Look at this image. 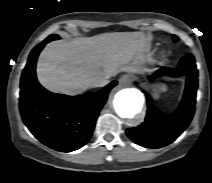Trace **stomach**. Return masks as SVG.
I'll return each mask as SVG.
<instances>
[{
	"label": "stomach",
	"instance_id": "obj_1",
	"mask_svg": "<svg viewBox=\"0 0 212 183\" xmlns=\"http://www.w3.org/2000/svg\"><path fill=\"white\" fill-rule=\"evenodd\" d=\"M165 90H166V87H165L164 85H160V86L157 88V90H156L155 96L158 97V94H159L160 92L165 91Z\"/></svg>",
	"mask_w": 212,
	"mask_h": 183
}]
</instances>
